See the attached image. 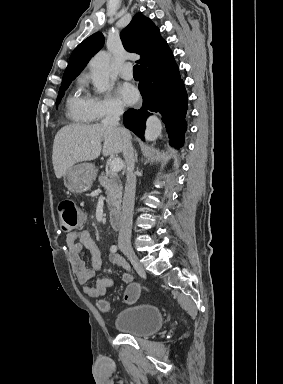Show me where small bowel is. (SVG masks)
Instances as JSON below:
<instances>
[{
	"label": "small bowel",
	"mask_w": 283,
	"mask_h": 384,
	"mask_svg": "<svg viewBox=\"0 0 283 384\" xmlns=\"http://www.w3.org/2000/svg\"><path fill=\"white\" fill-rule=\"evenodd\" d=\"M67 249L72 263L73 272L80 285L83 286V292L90 298H101L106 295L108 289L114 287L115 281L109 277H103L95 284H89L90 279L95 272L100 269L102 264L101 253L96 243L92 239L89 231L78 229L70 232L66 237ZM84 250L91 255L90 264H87L81 257ZM109 261L113 265L124 268L122 280L125 283L133 284V274L130 266L119 255L110 253Z\"/></svg>",
	"instance_id": "obj_1"
}]
</instances>
